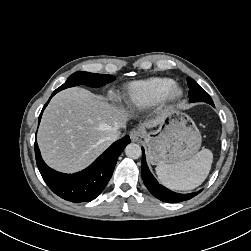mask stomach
<instances>
[{
	"mask_svg": "<svg viewBox=\"0 0 251 251\" xmlns=\"http://www.w3.org/2000/svg\"><path fill=\"white\" fill-rule=\"evenodd\" d=\"M152 164H176L196 154L201 134L192 120L180 111L166 113L157 130L144 133Z\"/></svg>",
	"mask_w": 251,
	"mask_h": 251,
	"instance_id": "1",
	"label": "stomach"
}]
</instances>
